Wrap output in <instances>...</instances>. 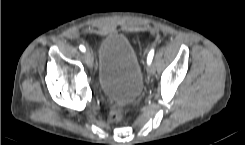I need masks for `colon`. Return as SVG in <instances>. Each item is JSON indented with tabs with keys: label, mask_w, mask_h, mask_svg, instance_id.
Returning <instances> with one entry per match:
<instances>
[{
	"label": "colon",
	"mask_w": 245,
	"mask_h": 145,
	"mask_svg": "<svg viewBox=\"0 0 245 145\" xmlns=\"http://www.w3.org/2000/svg\"><path fill=\"white\" fill-rule=\"evenodd\" d=\"M139 36L138 38H140ZM138 38H134L133 41L136 43ZM124 118V111L120 108H115L110 112L109 119L113 123L121 122Z\"/></svg>",
	"instance_id": "colon-1"
}]
</instances>
